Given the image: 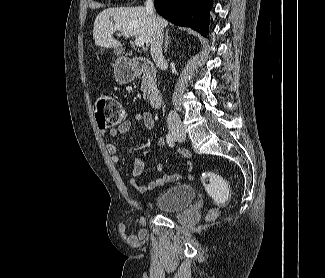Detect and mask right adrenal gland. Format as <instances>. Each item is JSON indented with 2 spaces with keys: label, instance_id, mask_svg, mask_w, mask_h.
Returning a JSON list of instances; mask_svg holds the SVG:
<instances>
[{
  "label": "right adrenal gland",
  "instance_id": "1",
  "mask_svg": "<svg viewBox=\"0 0 325 278\" xmlns=\"http://www.w3.org/2000/svg\"><path fill=\"white\" fill-rule=\"evenodd\" d=\"M170 37H169V29L166 30V33H165V44H164V52H167V49H168V45L170 43Z\"/></svg>",
  "mask_w": 325,
  "mask_h": 278
}]
</instances>
